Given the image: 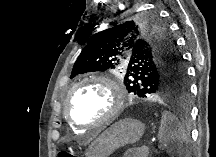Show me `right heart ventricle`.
Returning <instances> with one entry per match:
<instances>
[{
    "instance_id": "e07e8e85",
    "label": "right heart ventricle",
    "mask_w": 216,
    "mask_h": 157,
    "mask_svg": "<svg viewBox=\"0 0 216 157\" xmlns=\"http://www.w3.org/2000/svg\"><path fill=\"white\" fill-rule=\"evenodd\" d=\"M74 127V126H73ZM75 130H79V128L74 127Z\"/></svg>"
}]
</instances>
